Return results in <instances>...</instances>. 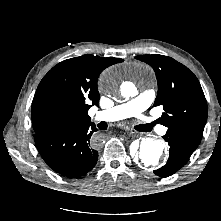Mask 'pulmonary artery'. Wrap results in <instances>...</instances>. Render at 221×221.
Masks as SVG:
<instances>
[{"label": "pulmonary artery", "instance_id": "obj_1", "mask_svg": "<svg viewBox=\"0 0 221 221\" xmlns=\"http://www.w3.org/2000/svg\"><path fill=\"white\" fill-rule=\"evenodd\" d=\"M155 97L153 90L142 92L137 97L116 105L109 109L99 111L95 114L94 119L97 121H118L130 117L140 118L151 130L158 133H165L166 128L158 125L154 118L143 115V112L151 105Z\"/></svg>", "mask_w": 221, "mask_h": 221}]
</instances>
